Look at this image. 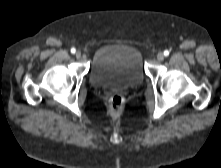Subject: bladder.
I'll return each mask as SVG.
<instances>
[{"label":"bladder","mask_w":221,"mask_h":168,"mask_svg":"<svg viewBox=\"0 0 221 168\" xmlns=\"http://www.w3.org/2000/svg\"><path fill=\"white\" fill-rule=\"evenodd\" d=\"M145 69L140 50L126 44L101 47L92 59L89 80L98 88H130L143 82Z\"/></svg>","instance_id":"obj_1"}]
</instances>
